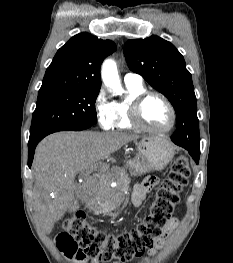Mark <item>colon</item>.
<instances>
[{"instance_id": "colon-1", "label": "colon", "mask_w": 233, "mask_h": 263, "mask_svg": "<svg viewBox=\"0 0 233 263\" xmlns=\"http://www.w3.org/2000/svg\"><path fill=\"white\" fill-rule=\"evenodd\" d=\"M190 176L188 159L178 156L157 191L149 214L133 230L117 235L108 234L92 226L82 211H77L65 222L57 237L59 249L71 259L84 261L95 258L105 262L113 259L125 262L141 256L161 236L174 207L179 203V193Z\"/></svg>"}]
</instances>
